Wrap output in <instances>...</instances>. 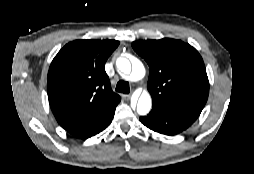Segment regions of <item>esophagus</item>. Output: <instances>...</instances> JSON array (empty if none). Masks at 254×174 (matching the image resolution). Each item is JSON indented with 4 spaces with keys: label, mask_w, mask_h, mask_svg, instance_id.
Here are the masks:
<instances>
[{
    "label": "esophagus",
    "mask_w": 254,
    "mask_h": 174,
    "mask_svg": "<svg viewBox=\"0 0 254 174\" xmlns=\"http://www.w3.org/2000/svg\"><path fill=\"white\" fill-rule=\"evenodd\" d=\"M122 97L124 100H129L131 95L130 94H123Z\"/></svg>",
    "instance_id": "obj_1"
}]
</instances>
